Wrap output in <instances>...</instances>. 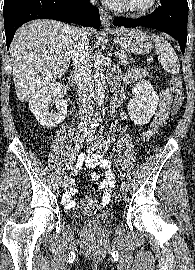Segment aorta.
<instances>
[{"mask_svg":"<svg viewBox=\"0 0 195 270\" xmlns=\"http://www.w3.org/2000/svg\"><path fill=\"white\" fill-rule=\"evenodd\" d=\"M94 79L97 103L101 106L104 102L106 83L101 65V60L98 57L96 58L94 63Z\"/></svg>","mask_w":195,"mask_h":270,"instance_id":"aorta-1","label":"aorta"}]
</instances>
